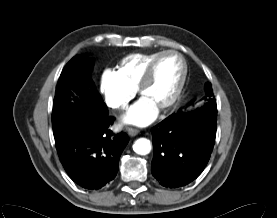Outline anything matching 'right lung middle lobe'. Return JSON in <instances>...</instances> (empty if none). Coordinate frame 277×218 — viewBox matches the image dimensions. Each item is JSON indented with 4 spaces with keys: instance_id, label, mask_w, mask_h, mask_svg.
Returning a JSON list of instances; mask_svg holds the SVG:
<instances>
[{
    "instance_id": "obj_1",
    "label": "right lung middle lobe",
    "mask_w": 277,
    "mask_h": 218,
    "mask_svg": "<svg viewBox=\"0 0 277 218\" xmlns=\"http://www.w3.org/2000/svg\"><path fill=\"white\" fill-rule=\"evenodd\" d=\"M93 59L87 55L73 57L61 72L59 82L79 83L90 92V99L86 104H79L71 100L55 99L53 102L52 126L55 141L61 140L73 130L89 124L92 120L106 115L107 107L96 91L90 79Z\"/></svg>"
}]
</instances>
